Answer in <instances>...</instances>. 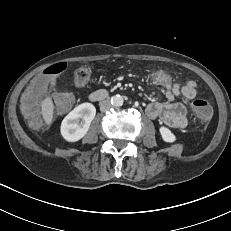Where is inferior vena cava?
Wrapping results in <instances>:
<instances>
[{
  "instance_id": "inferior-vena-cava-1",
  "label": "inferior vena cava",
  "mask_w": 231,
  "mask_h": 231,
  "mask_svg": "<svg viewBox=\"0 0 231 231\" xmlns=\"http://www.w3.org/2000/svg\"><path fill=\"white\" fill-rule=\"evenodd\" d=\"M112 104L109 100H103L100 102V110L101 112H107L111 109Z\"/></svg>"
}]
</instances>
